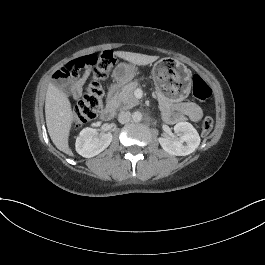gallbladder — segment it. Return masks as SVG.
<instances>
[{
  "instance_id": "obj_1",
  "label": "gallbladder",
  "mask_w": 265,
  "mask_h": 265,
  "mask_svg": "<svg viewBox=\"0 0 265 265\" xmlns=\"http://www.w3.org/2000/svg\"><path fill=\"white\" fill-rule=\"evenodd\" d=\"M74 78H75V79L73 80V77H71V78H70V81L73 80V81L75 82V81H77V80L79 79L78 76H75Z\"/></svg>"
}]
</instances>
